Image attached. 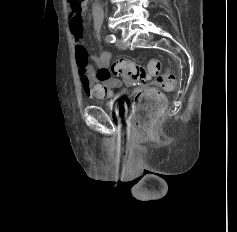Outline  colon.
<instances>
[{
	"mask_svg": "<svg viewBox=\"0 0 237 232\" xmlns=\"http://www.w3.org/2000/svg\"><path fill=\"white\" fill-rule=\"evenodd\" d=\"M73 10L81 12L87 0H68ZM161 63L157 59H152L146 66H140L128 59L116 60L111 72L119 77L128 75L136 80L146 81L155 77L156 86H144L134 96L132 122L134 126L143 134H149L159 117L165 109V99L161 89L171 90L174 87L175 79L170 73L160 74Z\"/></svg>",
	"mask_w": 237,
	"mask_h": 232,
	"instance_id": "1",
	"label": "colon"
}]
</instances>
